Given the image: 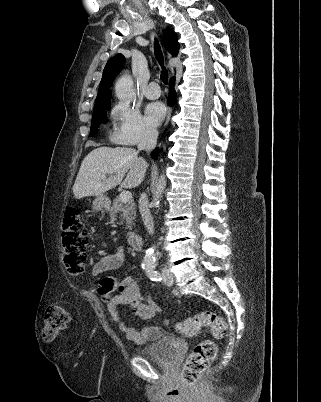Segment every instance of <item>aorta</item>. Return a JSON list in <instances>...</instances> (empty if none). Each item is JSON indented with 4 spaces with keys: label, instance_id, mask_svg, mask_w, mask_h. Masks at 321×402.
Segmentation results:
<instances>
[{
    "label": "aorta",
    "instance_id": "aorta-1",
    "mask_svg": "<svg viewBox=\"0 0 321 402\" xmlns=\"http://www.w3.org/2000/svg\"><path fill=\"white\" fill-rule=\"evenodd\" d=\"M116 97L120 100L129 99L134 95L133 91V81L130 75H123L118 79L115 85ZM166 187L165 175L159 177L156 189L152 196V203L155 207L159 206L160 199ZM155 264V251L154 248H149L146 250L145 257L143 259V266L146 270H152Z\"/></svg>",
    "mask_w": 321,
    "mask_h": 402
}]
</instances>
